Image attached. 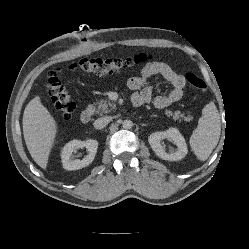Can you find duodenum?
I'll use <instances>...</instances> for the list:
<instances>
[{
    "label": "duodenum",
    "mask_w": 249,
    "mask_h": 249,
    "mask_svg": "<svg viewBox=\"0 0 249 249\" xmlns=\"http://www.w3.org/2000/svg\"><path fill=\"white\" fill-rule=\"evenodd\" d=\"M93 115V110L91 108L85 109L82 113H81V122L84 124H87L90 122L91 117Z\"/></svg>",
    "instance_id": "1"
}]
</instances>
